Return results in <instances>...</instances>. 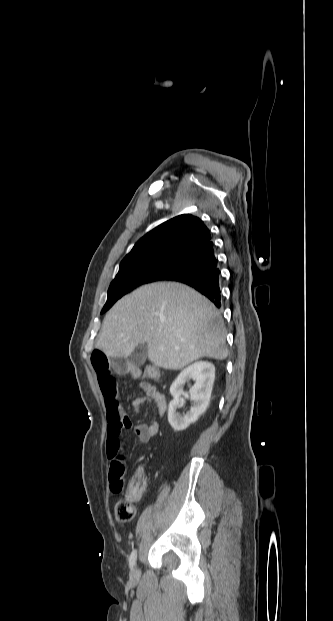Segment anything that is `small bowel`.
Returning <instances> with one entry per match:
<instances>
[{
    "instance_id": "1",
    "label": "small bowel",
    "mask_w": 333,
    "mask_h": 621,
    "mask_svg": "<svg viewBox=\"0 0 333 621\" xmlns=\"http://www.w3.org/2000/svg\"><path fill=\"white\" fill-rule=\"evenodd\" d=\"M91 364L94 368L100 391L102 393L108 421V437H107V455L110 461V467L116 462L125 463L124 452L120 440L124 430L132 426L130 419L124 412L118 397L117 382L114 373L122 372L126 368V363L120 359L110 358L100 349L93 350L91 354ZM145 395L136 398L133 401V407L136 413L150 401H154L157 406L159 417H163L167 410V402L165 396L160 393L156 387L149 382L140 384ZM160 429L158 422L151 424H138L134 427L135 434L141 442H148L155 436ZM144 471L138 468L135 473Z\"/></svg>"
}]
</instances>
